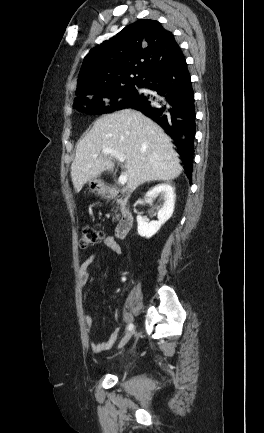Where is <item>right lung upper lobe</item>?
<instances>
[{"label":"right lung upper lobe","instance_id":"right-lung-upper-lobe-1","mask_svg":"<svg viewBox=\"0 0 264 433\" xmlns=\"http://www.w3.org/2000/svg\"><path fill=\"white\" fill-rule=\"evenodd\" d=\"M180 51L173 34L158 21L141 19L130 24L85 57L75 101L119 86L138 84L156 66Z\"/></svg>","mask_w":264,"mask_h":433}]
</instances>
